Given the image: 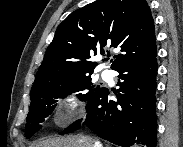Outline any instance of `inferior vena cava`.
<instances>
[{"label": "inferior vena cava", "mask_w": 183, "mask_h": 147, "mask_svg": "<svg viewBox=\"0 0 183 147\" xmlns=\"http://www.w3.org/2000/svg\"><path fill=\"white\" fill-rule=\"evenodd\" d=\"M94 146L95 147H101L100 143H98V142H95V145Z\"/></svg>", "instance_id": "602c4592"}]
</instances>
